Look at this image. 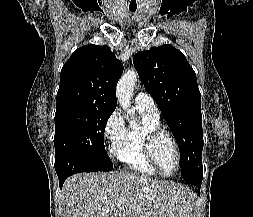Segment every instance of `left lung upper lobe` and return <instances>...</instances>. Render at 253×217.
Wrapping results in <instances>:
<instances>
[{"mask_svg":"<svg viewBox=\"0 0 253 217\" xmlns=\"http://www.w3.org/2000/svg\"><path fill=\"white\" fill-rule=\"evenodd\" d=\"M133 63L178 143L182 178L202 177L201 94L194 70L171 45L138 52Z\"/></svg>","mask_w":253,"mask_h":217,"instance_id":"1","label":"left lung upper lobe"}]
</instances>
